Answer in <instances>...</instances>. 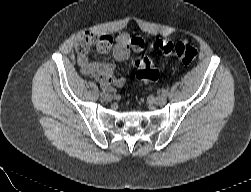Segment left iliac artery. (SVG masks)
Segmentation results:
<instances>
[{
  "instance_id": "1",
  "label": "left iliac artery",
  "mask_w": 251,
  "mask_h": 192,
  "mask_svg": "<svg viewBox=\"0 0 251 192\" xmlns=\"http://www.w3.org/2000/svg\"><path fill=\"white\" fill-rule=\"evenodd\" d=\"M168 92H169L168 89H163V90H162V94H164V95H167Z\"/></svg>"
}]
</instances>
